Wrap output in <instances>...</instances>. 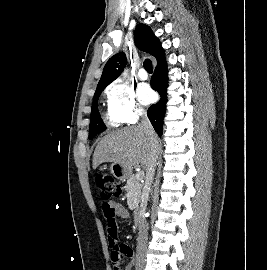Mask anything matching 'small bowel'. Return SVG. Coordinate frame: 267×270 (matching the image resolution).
<instances>
[{
	"mask_svg": "<svg viewBox=\"0 0 267 270\" xmlns=\"http://www.w3.org/2000/svg\"><path fill=\"white\" fill-rule=\"evenodd\" d=\"M103 214L106 220V230L109 239L110 247L112 248L111 258L117 255L119 258H127L129 260L133 259L134 252L133 249L127 244H117V226L115 223V218H126L128 216L127 209L119 202H105L103 203ZM132 263L130 262L124 270H131Z\"/></svg>",
	"mask_w": 267,
	"mask_h": 270,
	"instance_id": "1",
	"label": "small bowel"
}]
</instances>
